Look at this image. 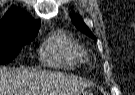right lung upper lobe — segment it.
Here are the masks:
<instances>
[{"label": "right lung upper lobe", "mask_w": 135, "mask_h": 95, "mask_svg": "<svg viewBox=\"0 0 135 95\" xmlns=\"http://www.w3.org/2000/svg\"><path fill=\"white\" fill-rule=\"evenodd\" d=\"M39 20L32 19L27 12L12 8L0 21V35L13 32H38Z\"/></svg>", "instance_id": "obj_1"}]
</instances>
